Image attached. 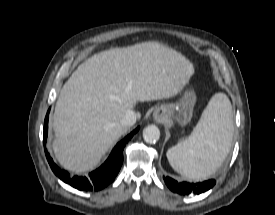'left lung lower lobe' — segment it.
<instances>
[{
	"label": "left lung lower lobe",
	"instance_id": "1",
	"mask_svg": "<svg viewBox=\"0 0 275 215\" xmlns=\"http://www.w3.org/2000/svg\"><path fill=\"white\" fill-rule=\"evenodd\" d=\"M166 185L176 193L181 195L200 194L203 193L215 185V180H207L198 183L181 182L178 183L170 177H164Z\"/></svg>",
	"mask_w": 275,
	"mask_h": 215
}]
</instances>
